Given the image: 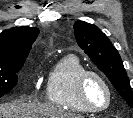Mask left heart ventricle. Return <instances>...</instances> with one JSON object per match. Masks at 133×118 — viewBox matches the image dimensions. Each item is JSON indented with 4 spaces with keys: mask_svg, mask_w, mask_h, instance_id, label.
<instances>
[{
    "mask_svg": "<svg viewBox=\"0 0 133 118\" xmlns=\"http://www.w3.org/2000/svg\"><path fill=\"white\" fill-rule=\"evenodd\" d=\"M87 95L90 103L95 107H102L107 101V91L97 78H90L87 84Z\"/></svg>",
    "mask_w": 133,
    "mask_h": 118,
    "instance_id": "1",
    "label": "left heart ventricle"
}]
</instances>
